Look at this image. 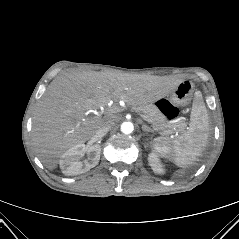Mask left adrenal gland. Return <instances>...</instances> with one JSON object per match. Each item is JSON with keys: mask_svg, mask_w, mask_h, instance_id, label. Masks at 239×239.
Segmentation results:
<instances>
[{"mask_svg": "<svg viewBox=\"0 0 239 239\" xmlns=\"http://www.w3.org/2000/svg\"><path fill=\"white\" fill-rule=\"evenodd\" d=\"M142 130L145 132V134L147 136H149V133H153V129H151L149 126H147L146 124L142 125ZM151 139V138H150ZM148 140V139H147Z\"/></svg>", "mask_w": 239, "mask_h": 239, "instance_id": "a2214340", "label": "left adrenal gland"}]
</instances>
